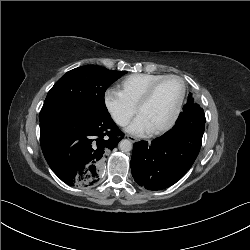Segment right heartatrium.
Returning <instances> with one entry per match:
<instances>
[{"instance_id":"right-heart-atrium-1","label":"right heart atrium","mask_w":250,"mask_h":250,"mask_svg":"<svg viewBox=\"0 0 250 250\" xmlns=\"http://www.w3.org/2000/svg\"><path fill=\"white\" fill-rule=\"evenodd\" d=\"M104 105L113 121L119 126L129 123L136 113V106L131 104L123 94L116 89H108L104 94Z\"/></svg>"}]
</instances>
